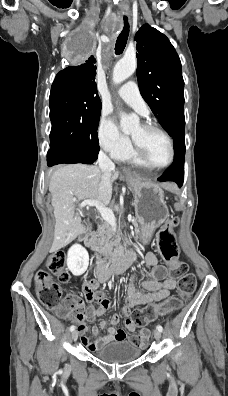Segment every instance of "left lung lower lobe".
Segmentation results:
<instances>
[{
  "instance_id": "left-lung-lower-lobe-1",
  "label": "left lung lower lobe",
  "mask_w": 228,
  "mask_h": 396,
  "mask_svg": "<svg viewBox=\"0 0 228 396\" xmlns=\"http://www.w3.org/2000/svg\"><path fill=\"white\" fill-rule=\"evenodd\" d=\"M175 157L172 165L158 178L159 181H174L179 186L184 180L185 136L184 129L177 130L173 135Z\"/></svg>"
}]
</instances>
